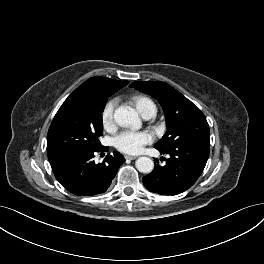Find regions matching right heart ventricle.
Here are the masks:
<instances>
[{"mask_svg":"<svg viewBox=\"0 0 264 264\" xmlns=\"http://www.w3.org/2000/svg\"><path fill=\"white\" fill-rule=\"evenodd\" d=\"M132 101L142 116L149 113L150 111H156L154 102L145 95H134L132 97Z\"/></svg>","mask_w":264,"mask_h":264,"instance_id":"right-heart-ventricle-1","label":"right heart ventricle"}]
</instances>
